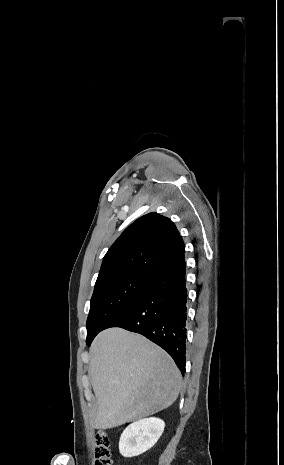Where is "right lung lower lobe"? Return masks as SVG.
<instances>
[{"instance_id":"obj_1","label":"right lung lower lobe","mask_w":284,"mask_h":465,"mask_svg":"<svg viewBox=\"0 0 284 465\" xmlns=\"http://www.w3.org/2000/svg\"><path fill=\"white\" fill-rule=\"evenodd\" d=\"M186 303L185 261H182L155 277L137 297L113 316L102 330L121 327L144 335L162 347L184 374Z\"/></svg>"}]
</instances>
